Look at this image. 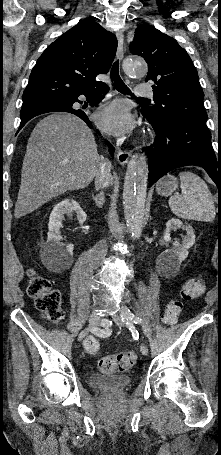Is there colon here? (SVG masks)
Masks as SVG:
<instances>
[{"label":"colon","instance_id":"1","mask_svg":"<svg viewBox=\"0 0 221 455\" xmlns=\"http://www.w3.org/2000/svg\"><path fill=\"white\" fill-rule=\"evenodd\" d=\"M28 277L27 293L34 298L38 311L51 323H61L64 319V310L59 291L52 287L48 278L34 270L28 272ZM204 291L203 278L195 277L187 280L179 295L167 303L162 317L163 322L168 326L174 325L183 310L184 301L198 298ZM84 349L88 354L96 355L100 351V344L95 338L89 337L84 342ZM136 361V353L127 351L104 356L98 360L97 366L104 373L122 372L133 367Z\"/></svg>","mask_w":221,"mask_h":455}]
</instances>
